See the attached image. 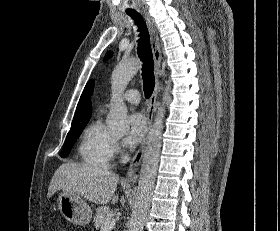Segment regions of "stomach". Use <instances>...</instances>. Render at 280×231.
I'll use <instances>...</instances> for the list:
<instances>
[{
	"label": "stomach",
	"mask_w": 280,
	"mask_h": 231,
	"mask_svg": "<svg viewBox=\"0 0 280 231\" xmlns=\"http://www.w3.org/2000/svg\"><path fill=\"white\" fill-rule=\"evenodd\" d=\"M58 205L62 215L71 223L75 225L90 223L92 209L80 195H75L71 191H62L58 195Z\"/></svg>",
	"instance_id": "obj_1"
}]
</instances>
